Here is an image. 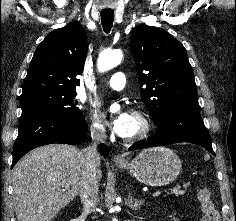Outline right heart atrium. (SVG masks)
I'll list each match as a JSON object with an SVG mask.
<instances>
[{
    "label": "right heart atrium",
    "instance_id": "right-heart-atrium-1",
    "mask_svg": "<svg viewBox=\"0 0 236 221\" xmlns=\"http://www.w3.org/2000/svg\"><path fill=\"white\" fill-rule=\"evenodd\" d=\"M90 132L96 139H104L107 136V126L105 122L95 113L90 116Z\"/></svg>",
    "mask_w": 236,
    "mask_h": 221
}]
</instances>
